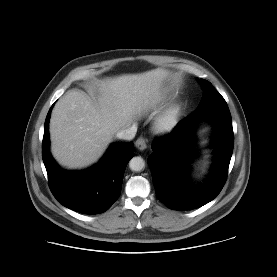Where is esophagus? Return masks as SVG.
Returning <instances> with one entry per match:
<instances>
[{
    "label": "esophagus",
    "mask_w": 277,
    "mask_h": 277,
    "mask_svg": "<svg viewBox=\"0 0 277 277\" xmlns=\"http://www.w3.org/2000/svg\"><path fill=\"white\" fill-rule=\"evenodd\" d=\"M146 142H147L146 139H144L143 137H140L136 140L135 145L138 150L142 151V150L146 149V147H147Z\"/></svg>",
    "instance_id": "34e87169"
}]
</instances>
